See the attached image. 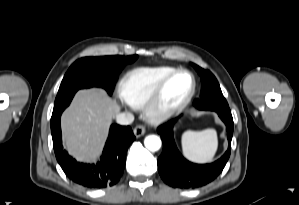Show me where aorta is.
Listing matches in <instances>:
<instances>
[{
  "instance_id": "obj_1",
  "label": "aorta",
  "mask_w": 299,
  "mask_h": 205,
  "mask_svg": "<svg viewBox=\"0 0 299 205\" xmlns=\"http://www.w3.org/2000/svg\"><path fill=\"white\" fill-rule=\"evenodd\" d=\"M144 145L150 151H157L161 147V139L156 135H149L145 138Z\"/></svg>"
}]
</instances>
